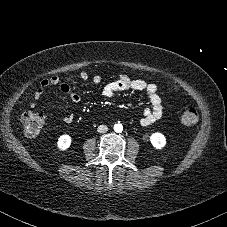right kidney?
I'll return each mask as SVG.
<instances>
[{"label":"right kidney","mask_w":227,"mask_h":227,"mask_svg":"<svg viewBox=\"0 0 227 227\" xmlns=\"http://www.w3.org/2000/svg\"><path fill=\"white\" fill-rule=\"evenodd\" d=\"M71 137L68 134L61 135L57 142V147L59 150L64 151L68 149L71 145Z\"/></svg>","instance_id":"ca27d5eb"}]
</instances>
